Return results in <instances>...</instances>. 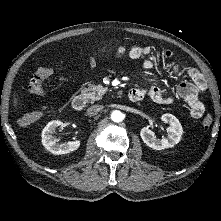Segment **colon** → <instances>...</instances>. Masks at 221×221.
Wrapping results in <instances>:
<instances>
[{
    "label": "colon",
    "mask_w": 221,
    "mask_h": 221,
    "mask_svg": "<svg viewBox=\"0 0 221 221\" xmlns=\"http://www.w3.org/2000/svg\"><path fill=\"white\" fill-rule=\"evenodd\" d=\"M122 48H125L124 46H120ZM53 73L52 67H41L39 68L32 76L30 77L28 81V91L35 95H43L45 93V88L43 85V82L51 76ZM42 116V112L40 111H34L31 113L26 114L19 120V124L22 127H27L35 122H37ZM213 118L210 115H207L204 117L202 121V125L205 129H209L212 125Z\"/></svg>",
    "instance_id": "1"
}]
</instances>
